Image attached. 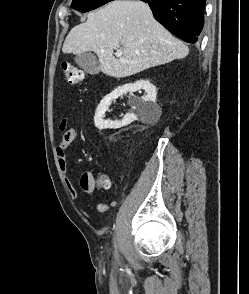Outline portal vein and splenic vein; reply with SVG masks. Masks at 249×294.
<instances>
[{
  "instance_id": "18ae733b",
  "label": "portal vein and splenic vein",
  "mask_w": 249,
  "mask_h": 294,
  "mask_svg": "<svg viewBox=\"0 0 249 294\" xmlns=\"http://www.w3.org/2000/svg\"><path fill=\"white\" fill-rule=\"evenodd\" d=\"M115 55H116V57H118L120 60H123V58H122V50H121V49H117Z\"/></svg>"
}]
</instances>
